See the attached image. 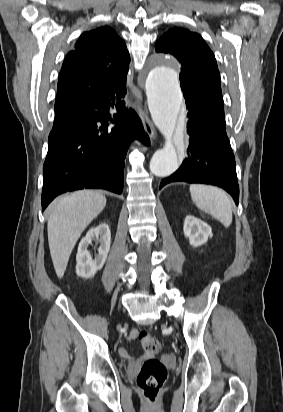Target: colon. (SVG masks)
Listing matches in <instances>:
<instances>
[{
  "mask_svg": "<svg viewBox=\"0 0 283 412\" xmlns=\"http://www.w3.org/2000/svg\"><path fill=\"white\" fill-rule=\"evenodd\" d=\"M136 338L150 353H156L161 349L160 341L147 331L138 332ZM166 378L167 369L160 360L149 358L143 363L137 377V385L148 402H157Z\"/></svg>",
  "mask_w": 283,
  "mask_h": 412,
  "instance_id": "obj_1",
  "label": "colon"
}]
</instances>
